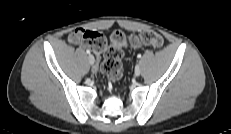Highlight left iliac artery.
Listing matches in <instances>:
<instances>
[{"label":"left iliac artery","instance_id":"1","mask_svg":"<svg viewBox=\"0 0 231 134\" xmlns=\"http://www.w3.org/2000/svg\"><path fill=\"white\" fill-rule=\"evenodd\" d=\"M137 58H141V54H138V55H137Z\"/></svg>","mask_w":231,"mask_h":134}]
</instances>
